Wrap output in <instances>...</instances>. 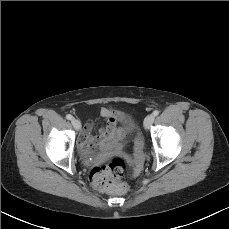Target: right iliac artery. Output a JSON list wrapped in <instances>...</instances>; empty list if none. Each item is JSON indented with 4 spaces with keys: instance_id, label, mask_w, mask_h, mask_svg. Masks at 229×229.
I'll return each mask as SVG.
<instances>
[{
    "instance_id": "1",
    "label": "right iliac artery",
    "mask_w": 229,
    "mask_h": 229,
    "mask_svg": "<svg viewBox=\"0 0 229 229\" xmlns=\"http://www.w3.org/2000/svg\"><path fill=\"white\" fill-rule=\"evenodd\" d=\"M66 118H67L68 120H71V119L73 118V116L70 115V114H68V115H66Z\"/></svg>"
}]
</instances>
